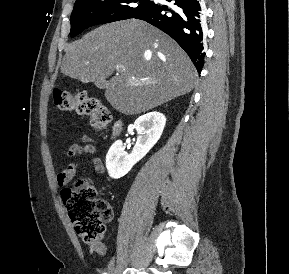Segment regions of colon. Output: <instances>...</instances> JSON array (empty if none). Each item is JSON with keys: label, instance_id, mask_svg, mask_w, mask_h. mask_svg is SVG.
<instances>
[{"label": "colon", "instance_id": "colon-1", "mask_svg": "<svg viewBox=\"0 0 289 274\" xmlns=\"http://www.w3.org/2000/svg\"><path fill=\"white\" fill-rule=\"evenodd\" d=\"M53 101L60 111L89 116L94 129H106L112 121L109 109L97 97L86 92L71 93L56 89L53 91ZM62 198L77 234L87 242L101 239L106 223L113 218V211L106 200L97 197L94 185L79 180L63 189Z\"/></svg>", "mask_w": 289, "mask_h": 274}]
</instances>
